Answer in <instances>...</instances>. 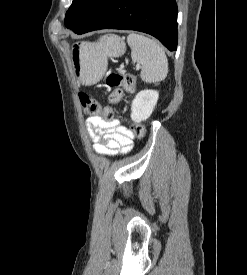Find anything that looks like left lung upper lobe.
Returning a JSON list of instances; mask_svg holds the SVG:
<instances>
[{
  "mask_svg": "<svg viewBox=\"0 0 247 275\" xmlns=\"http://www.w3.org/2000/svg\"><path fill=\"white\" fill-rule=\"evenodd\" d=\"M102 0H73L65 17V25L71 30L80 28Z\"/></svg>",
  "mask_w": 247,
  "mask_h": 275,
  "instance_id": "left-lung-upper-lobe-1",
  "label": "left lung upper lobe"
}]
</instances>
